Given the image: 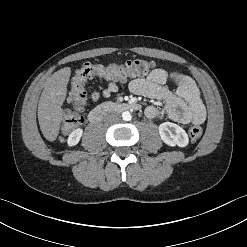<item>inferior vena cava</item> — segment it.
I'll return each mask as SVG.
<instances>
[{
	"label": "inferior vena cava",
	"instance_id": "inferior-vena-cava-1",
	"mask_svg": "<svg viewBox=\"0 0 247 247\" xmlns=\"http://www.w3.org/2000/svg\"><path fill=\"white\" fill-rule=\"evenodd\" d=\"M105 120L108 122H117L120 120V115L115 112L107 113L105 115Z\"/></svg>",
	"mask_w": 247,
	"mask_h": 247
}]
</instances>
